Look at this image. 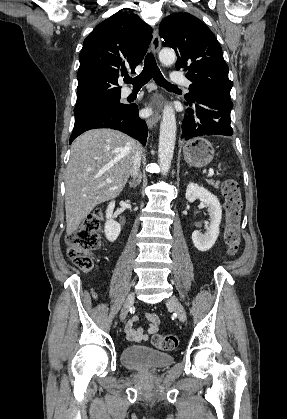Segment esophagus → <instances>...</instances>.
Listing matches in <instances>:
<instances>
[{
	"mask_svg": "<svg viewBox=\"0 0 287 419\" xmlns=\"http://www.w3.org/2000/svg\"><path fill=\"white\" fill-rule=\"evenodd\" d=\"M161 47L160 37L157 31H154L153 38L151 41V50L157 54ZM161 98V96H160ZM154 105L156 107V112L154 115L147 119V124L150 129H152L160 120V108H161V101L160 99L154 101Z\"/></svg>",
	"mask_w": 287,
	"mask_h": 419,
	"instance_id": "obj_1",
	"label": "esophagus"
}]
</instances>
